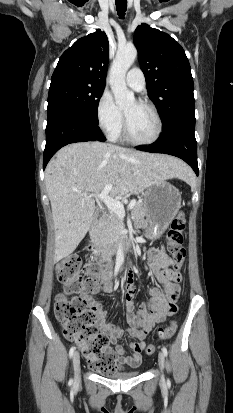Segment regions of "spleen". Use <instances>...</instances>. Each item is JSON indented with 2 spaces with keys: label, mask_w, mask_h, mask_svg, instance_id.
<instances>
[{
  "label": "spleen",
  "mask_w": 233,
  "mask_h": 413,
  "mask_svg": "<svg viewBox=\"0 0 233 413\" xmlns=\"http://www.w3.org/2000/svg\"><path fill=\"white\" fill-rule=\"evenodd\" d=\"M185 177H186V178H188L190 181H192V179H191V178H189L187 174L185 175Z\"/></svg>",
  "instance_id": "spleen-1"
}]
</instances>
